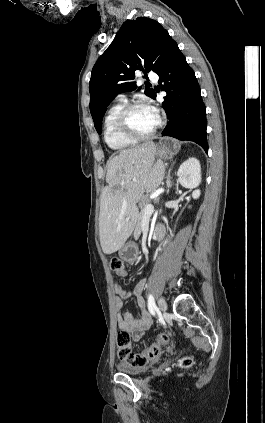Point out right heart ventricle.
Instances as JSON below:
<instances>
[{
	"label": "right heart ventricle",
	"instance_id": "right-heart-ventricle-1",
	"mask_svg": "<svg viewBox=\"0 0 265 423\" xmlns=\"http://www.w3.org/2000/svg\"><path fill=\"white\" fill-rule=\"evenodd\" d=\"M125 101L121 100L112 105L104 118L103 136L106 144L114 151H124L136 145V141L125 138L117 129V117L124 107Z\"/></svg>",
	"mask_w": 265,
	"mask_h": 423
}]
</instances>
